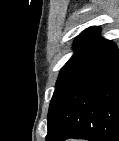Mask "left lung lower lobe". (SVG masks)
Masks as SVG:
<instances>
[{"instance_id": "left-lung-lower-lobe-1", "label": "left lung lower lobe", "mask_w": 119, "mask_h": 141, "mask_svg": "<svg viewBox=\"0 0 119 141\" xmlns=\"http://www.w3.org/2000/svg\"><path fill=\"white\" fill-rule=\"evenodd\" d=\"M46 141H119V51L105 40L94 60L61 91L48 111Z\"/></svg>"}]
</instances>
